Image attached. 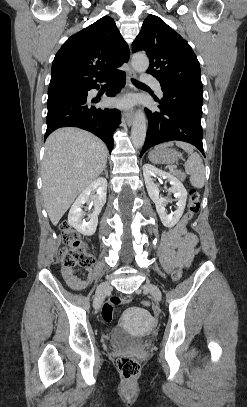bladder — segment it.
<instances>
[{
    "mask_svg": "<svg viewBox=\"0 0 247 407\" xmlns=\"http://www.w3.org/2000/svg\"><path fill=\"white\" fill-rule=\"evenodd\" d=\"M109 338L110 343L115 347H139L146 340V337L134 335L120 325L110 330Z\"/></svg>",
    "mask_w": 247,
    "mask_h": 407,
    "instance_id": "obj_1",
    "label": "bladder"
}]
</instances>
